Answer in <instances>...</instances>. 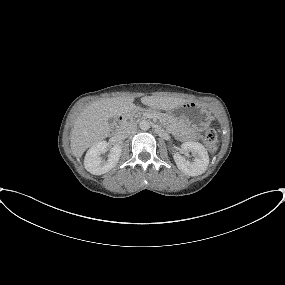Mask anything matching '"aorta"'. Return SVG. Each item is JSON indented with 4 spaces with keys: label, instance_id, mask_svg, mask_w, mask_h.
I'll return each mask as SVG.
<instances>
[{
    "label": "aorta",
    "instance_id": "1",
    "mask_svg": "<svg viewBox=\"0 0 285 285\" xmlns=\"http://www.w3.org/2000/svg\"><path fill=\"white\" fill-rule=\"evenodd\" d=\"M139 127L141 130L147 131L150 128V122L148 120H141Z\"/></svg>",
    "mask_w": 285,
    "mask_h": 285
}]
</instances>
